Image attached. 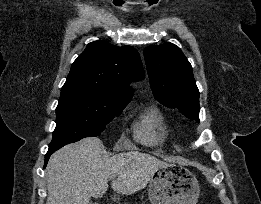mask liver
Masks as SVG:
<instances>
[{"instance_id": "1", "label": "liver", "mask_w": 261, "mask_h": 204, "mask_svg": "<svg viewBox=\"0 0 261 204\" xmlns=\"http://www.w3.org/2000/svg\"><path fill=\"white\" fill-rule=\"evenodd\" d=\"M104 146L97 137H88L62 147L52 155L46 169V204H90L108 189L130 195L146 187L160 167L168 165L139 151L103 156Z\"/></svg>"}]
</instances>
